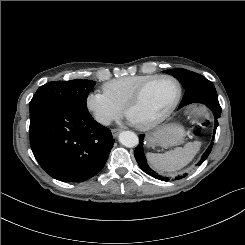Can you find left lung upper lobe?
<instances>
[{
	"label": "left lung upper lobe",
	"instance_id": "5c2ea615",
	"mask_svg": "<svg viewBox=\"0 0 245 245\" xmlns=\"http://www.w3.org/2000/svg\"><path fill=\"white\" fill-rule=\"evenodd\" d=\"M164 72L176 77L186 89L179 108L194 102L218 100L213 83L202 75L181 68L165 70Z\"/></svg>",
	"mask_w": 245,
	"mask_h": 245
}]
</instances>
